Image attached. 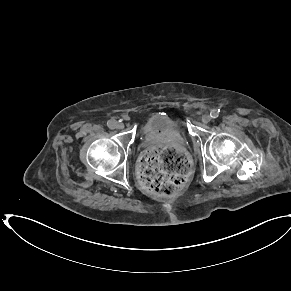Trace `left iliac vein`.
I'll list each match as a JSON object with an SVG mask.
<instances>
[{"label":"left iliac vein","mask_w":291,"mask_h":291,"mask_svg":"<svg viewBox=\"0 0 291 291\" xmlns=\"http://www.w3.org/2000/svg\"><path fill=\"white\" fill-rule=\"evenodd\" d=\"M210 121H211V116H210V115L205 114V115L202 116V122H203L204 124H207V123H209Z\"/></svg>","instance_id":"1"}]
</instances>
